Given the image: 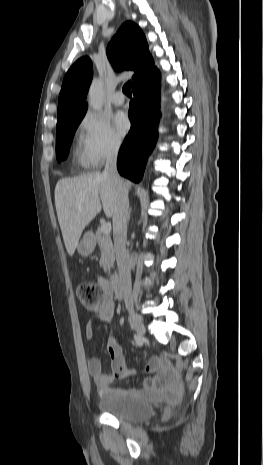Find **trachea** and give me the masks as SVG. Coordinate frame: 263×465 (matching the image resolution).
I'll return each instance as SVG.
<instances>
[{"label": "trachea", "mask_w": 263, "mask_h": 465, "mask_svg": "<svg viewBox=\"0 0 263 465\" xmlns=\"http://www.w3.org/2000/svg\"><path fill=\"white\" fill-rule=\"evenodd\" d=\"M123 93L127 96H131V81H128L122 88Z\"/></svg>", "instance_id": "obj_1"}]
</instances>
